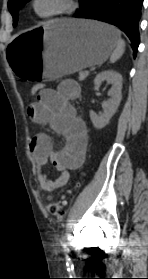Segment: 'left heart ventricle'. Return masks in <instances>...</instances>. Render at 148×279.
<instances>
[{
    "label": "left heart ventricle",
    "mask_w": 148,
    "mask_h": 279,
    "mask_svg": "<svg viewBox=\"0 0 148 279\" xmlns=\"http://www.w3.org/2000/svg\"><path fill=\"white\" fill-rule=\"evenodd\" d=\"M62 5H63L62 0H38L37 9L41 13H47L49 11L57 9Z\"/></svg>",
    "instance_id": "left-heart-ventricle-1"
}]
</instances>
